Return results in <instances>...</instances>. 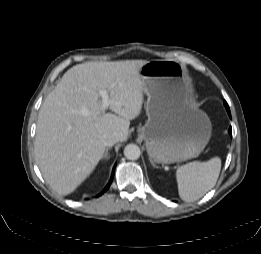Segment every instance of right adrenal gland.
<instances>
[{
	"label": "right adrenal gland",
	"instance_id": "right-adrenal-gland-1",
	"mask_svg": "<svg viewBox=\"0 0 261 254\" xmlns=\"http://www.w3.org/2000/svg\"><path fill=\"white\" fill-rule=\"evenodd\" d=\"M111 148H107L104 155H103V159L104 160H108L110 158V156L108 155V151L110 150Z\"/></svg>",
	"mask_w": 261,
	"mask_h": 254
}]
</instances>
